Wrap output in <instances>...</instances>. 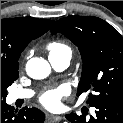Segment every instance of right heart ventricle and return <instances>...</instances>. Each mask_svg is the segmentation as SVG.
<instances>
[{"label":"right heart ventricle","mask_w":123,"mask_h":123,"mask_svg":"<svg viewBox=\"0 0 123 123\" xmlns=\"http://www.w3.org/2000/svg\"><path fill=\"white\" fill-rule=\"evenodd\" d=\"M47 49L49 51V56H58L63 54H70V48L63 42L54 41L48 44Z\"/></svg>","instance_id":"e07e8e85"}]
</instances>
